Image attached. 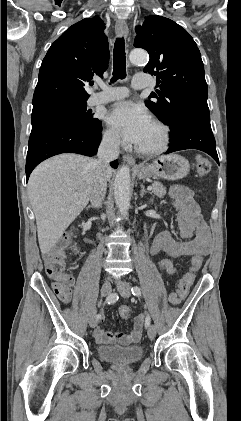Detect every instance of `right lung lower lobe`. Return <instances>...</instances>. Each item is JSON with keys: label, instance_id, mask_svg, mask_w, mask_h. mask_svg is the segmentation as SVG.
<instances>
[{"label": "right lung lower lobe", "instance_id": "right-lung-lower-lobe-1", "mask_svg": "<svg viewBox=\"0 0 241 421\" xmlns=\"http://www.w3.org/2000/svg\"><path fill=\"white\" fill-rule=\"evenodd\" d=\"M102 125L97 130L78 126L63 118L48 119L32 125L28 143L26 178L43 160L61 153L94 156L101 141ZM117 161L111 162L116 168Z\"/></svg>", "mask_w": 241, "mask_h": 421}]
</instances>
